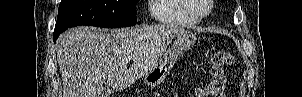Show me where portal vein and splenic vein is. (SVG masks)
Here are the masks:
<instances>
[{"label": "portal vein and splenic vein", "mask_w": 302, "mask_h": 97, "mask_svg": "<svg viewBox=\"0 0 302 97\" xmlns=\"http://www.w3.org/2000/svg\"><path fill=\"white\" fill-rule=\"evenodd\" d=\"M131 60V58H128V61H130Z\"/></svg>", "instance_id": "portal-vein-and-splenic-vein-1"}]
</instances>
